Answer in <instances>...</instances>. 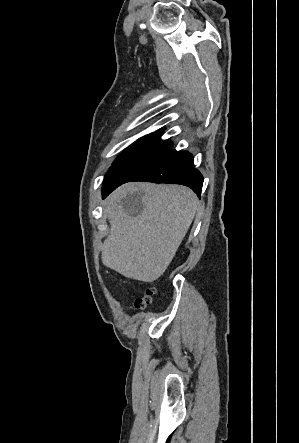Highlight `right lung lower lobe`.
<instances>
[{"label":"right lung lower lobe","instance_id":"right-lung-lower-lobe-1","mask_svg":"<svg viewBox=\"0 0 299 443\" xmlns=\"http://www.w3.org/2000/svg\"><path fill=\"white\" fill-rule=\"evenodd\" d=\"M130 181L181 184L191 188L200 197L203 176L195 169L193 157L187 151L170 150L163 158ZM119 185L102 190L103 198Z\"/></svg>","mask_w":299,"mask_h":443}]
</instances>
